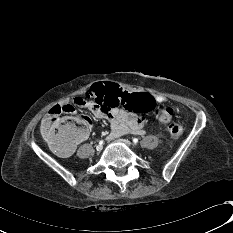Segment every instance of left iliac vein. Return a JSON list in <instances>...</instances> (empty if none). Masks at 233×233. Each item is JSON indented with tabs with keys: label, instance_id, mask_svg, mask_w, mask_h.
<instances>
[{
	"label": "left iliac vein",
	"instance_id": "obj_1",
	"mask_svg": "<svg viewBox=\"0 0 233 233\" xmlns=\"http://www.w3.org/2000/svg\"><path fill=\"white\" fill-rule=\"evenodd\" d=\"M120 142H122L123 144L127 145L128 147L132 146V143L129 140L126 139H120Z\"/></svg>",
	"mask_w": 233,
	"mask_h": 233
}]
</instances>
